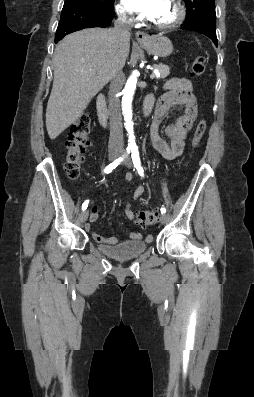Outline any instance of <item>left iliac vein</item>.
<instances>
[{
    "mask_svg": "<svg viewBox=\"0 0 254 397\" xmlns=\"http://www.w3.org/2000/svg\"><path fill=\"white\" fill-rule=\"evenodd\" d=\"M124 165H126L127 167H131L132 163H131L130 157H128V158L124 161ZM166 220H167L166 215H165V214H161V215H160V222H161L162 224H165V223H166Z\"/></svg>",
    "mask_w": 254,
    "mask_h": 397,
    "instance_id": "4c4485c4",
    "label": "left iliac vein"
}]
</instances>
